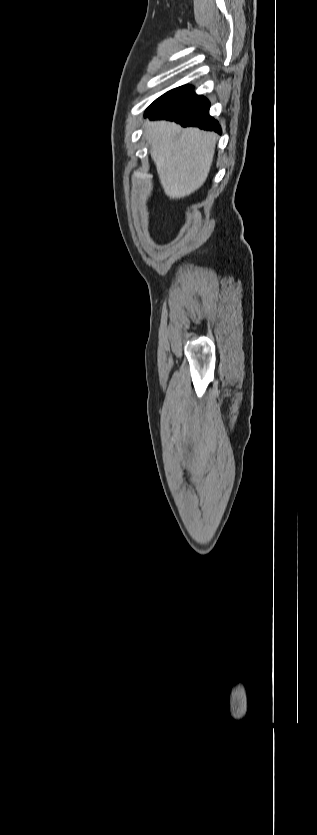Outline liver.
I'll list each match as a JSON object with an SVG mask.
<instances>
[{
    "label": "liver",
    "mask_w": 317,
    "mask_h": 835,
    "mask_svg": "<svg viewBox=\"0 0 317 835\" xmlns=\"http://www.w3.org/2000/svg\"><path fill=\"white\" fill-rule=\"evenodd\" d=\"M145 127L165 194L180 199L197 191L208 177L218 135L168 121H148Z\"/></svg>",
    "instance_id": "6515ba94"
}]
</instances>
